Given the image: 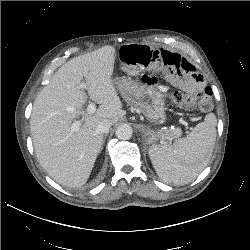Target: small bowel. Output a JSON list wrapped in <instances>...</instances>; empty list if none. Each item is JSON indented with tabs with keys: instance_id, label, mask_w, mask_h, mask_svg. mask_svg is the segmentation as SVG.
<instances>
[{
	"instance_id": "small-bowel-1",
	"label": "small bowel",
	"mask_w": 250,
	"mask_h": 250,
	"mask_svg": "<svg viewBox=\"0 0 250 250\" xmlns=\"http://www.w3.org/2000/svg\"><path fill=\"white\" fill-rule=\"evenodd\" d=\"M118 56L122 70L130 76L158 74L189 93L204 87V78L195 66L174 52L146 45H125Z\"/></svg>"
}]
</instances>
